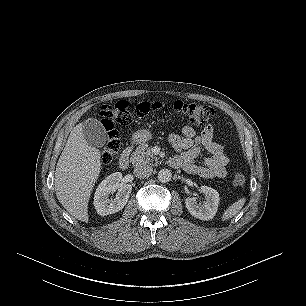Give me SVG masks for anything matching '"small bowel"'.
Returning <instances> with one entry per match:
<instances>
[{"instance_id": "c3829d8e", "label": "small bowel", "mask_w": 306, "mask_h": 306, "mask_svg": "<svg viewBox=\"0 0 306 306\" xmlns=\"http://www.w3.org/2000/svg\"><path fill=\"white\" fill-rule=\"evenodd\" d=\"M214 131L213 125H207L199 135H196L194 128L186 125L182 128V136L171 133L169 142L180 153L179 156L170 159L171 166L183 168L186 172L203 179L225 178L229 157L225 152V146L213 140ZM202 147L210 156L198 165L195 164V160L200 155Z\"/></svg>"}]
</instances>
